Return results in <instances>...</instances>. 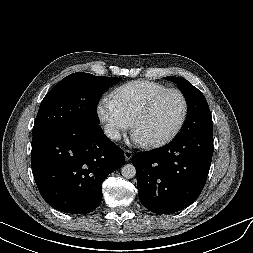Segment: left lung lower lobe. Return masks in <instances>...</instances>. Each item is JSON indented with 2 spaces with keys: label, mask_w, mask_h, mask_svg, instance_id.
I'll return each instance as SVG.
<instances>
[{
  "label": "left lung lower lobe",
  "mask_w": 253,
  "mask_h": 253,
  "mask_svg": "<svg viewBox=\"0 0 253 253\" xmlns=\"http://www.w3.org/2000/svg\"><path fill=\"white\" fill-rule=\"evenodd\" d=\"M213 129L176 136L166 146L136 153L139 199L153 213L180 211L202 192L210 169Z\"/></svg>",
  "instance_id": "1"
}]
</instances>
